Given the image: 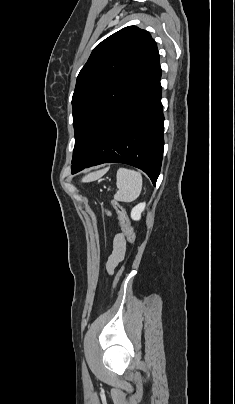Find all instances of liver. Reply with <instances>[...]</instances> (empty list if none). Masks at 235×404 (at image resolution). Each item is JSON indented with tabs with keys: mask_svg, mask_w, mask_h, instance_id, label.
Here are the masks:
<instances>
[{
	"mask_svg": "<svg viewBox=\"0 0 235 404\" xmlns=\"http://www.w3.org/2000/svg\"><path fill=\"white\" fill-rule=\"evenodd\" d=\"M98 174H99V172H97V173H92V174L88 175L87 178H94V177H96Z\"/></svg>",
	"mask_w": 235,
	"mask_h": 404,
	"instance_id": "6515ba94",
	"label": "liver"
}]
</instances>
